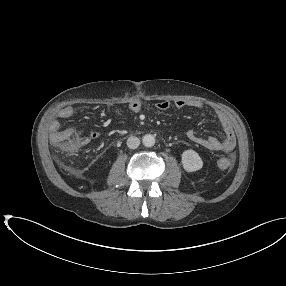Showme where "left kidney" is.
<instances>
[{
	"label": "left kidney",
	"mask_w": 286,
	"mask_h": 286,
	"mask_svg": "<svg viewBox=\"0 0 286 286\" xmlns=\"http://www.w3.org/2000/svg\"><path fill=\"white\" fill-rule=\"evenodd\" d=\"M182 165L185 171L195 172L203 167V161L196 151L189 149L182 153Z\"/></svg>",
	"instance_id": "obj_1"
}]
</instances>
